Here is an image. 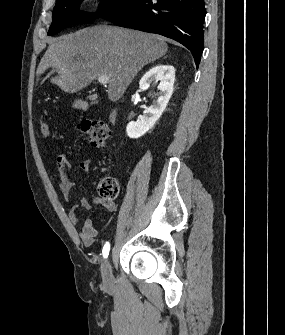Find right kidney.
<instances>
[{
  "label": "right kidney",
  "instance_id": "1",
  "mask_svg": "<svg viewBox=\"0 0 285 335\" xmlns=\"http://www.w3.org/2000/svg\"><path fill=\"white\" fill-rule=\"evenodd\" d=\"M158 82L161 80L158 90H160L155 102H153L150 108H145L142 118H139L138 122H129L126 128V134L129 138H140L144 136L148 130L153 128L162 112H164L173 92V84L175 80V70L173 66H154L149 72L144 74L139 82L140 88H147L150 82Z\"/></svg>",
  "mask_w": 285,
  "mask_h": 335
}]
</instances>
